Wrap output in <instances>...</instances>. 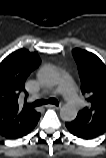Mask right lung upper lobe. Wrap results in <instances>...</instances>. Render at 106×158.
I'll use <instances>...</instances> for the list:
<instances>
[{
  "mask_svg": "<svg viewBox=\"0 0 106 158\" xmlns=\"http://www.w3.org/2000/svg\"><path fill=\"white\" fill-rule=\"evenodd\" d=\"M39 64L37 52L26 49L11 53L0 63V135L8 139L28 134L41 116L28 107L25 91L27 77Z\"/></svg>",
  "mask_w": 106,
  "mask_h": 158,
  "instance_id": "1",
  "label": "right lung upper lobe"
}]
</instances>
